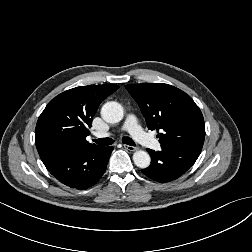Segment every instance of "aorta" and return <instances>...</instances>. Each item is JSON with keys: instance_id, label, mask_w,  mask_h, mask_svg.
Here are the masks:
<instances>
[{"instance_id": "obj_1", "label": "aorta", "mask_w": 252, "mask_h": 252, "mask_svg": "<svg viewBox=\"0 0 252 252\" xmlns=\"http://www.w3.org/2000/svg\"><path fill=\"white\" fill-rule=\"evenodd\" d=\"M102 118L109 123H118L123 119V107L115 101L105 103L101 108ZM133 161L139 168H147L150 165L151 159L147 152L138 150L133 154Z\"/></svg>"}]
</instances>
